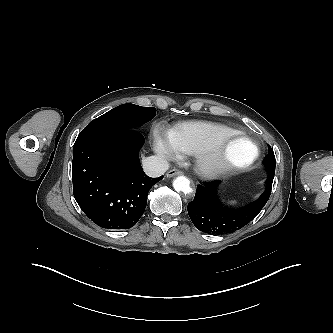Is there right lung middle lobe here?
Segmentation results:
<instances>
[{
	"mask_svg": "<svg viewBox=\"0 0 333 333\" xmlns=\"http://www.w3.org/2000/svg\"><path fill=\"white\" fill-rule=\"evenodd\" d=\"M156 115L154 107L123 104L91 121L85 128H118L133 130Z\"/></svg>",
	"mask_w": 333,
	"mask_h": 333,
	"instance_id": "right-lung-middle-lobe-1",
	"label": "right lung middle lobe"
}]
</instances>
